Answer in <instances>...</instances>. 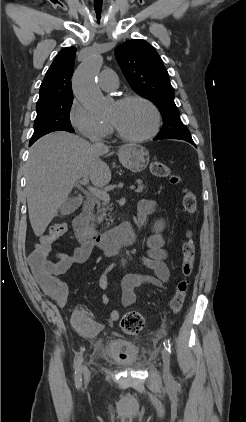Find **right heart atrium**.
Returning a JSON list of instances; mask_svg holds the SVG:
<instances>
[{
	"instance_id": "obj_1",
	"label": "right heart atrium",
	"mask_w": 246,
	"mask_h": 422,
	"mask_svg": "<svg viewBox=\"0 0 246 422\" xmlns=\"http://www.w3.org/2000/svg\"><path fill=\"white\" fill-rule=\"evenodd\" d=\"M69 120L72 127L83 137L97 141L106 138L111 127L108 123L94 118L90 112L78 101L71 105Z\"/></svg>"
}]
</instances>
